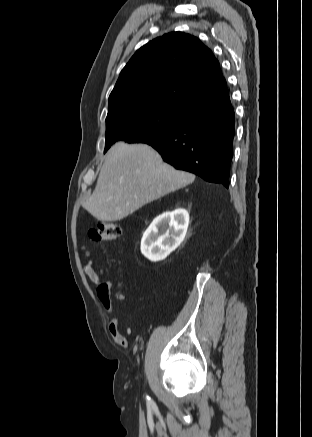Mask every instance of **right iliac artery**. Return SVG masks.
<instances>
[{
  "instance_id": "obj_1",
  "label": "right iliac artery",
  "mask_w": 312,
  "mask_h": 437,
  "mask_svg": "<svg viewBox=\"0 0 312 437\" xmlns=\"http://www.w3.org/2000/svg\"><path fill=\"white\" fill-rule=\"evenodd\" d=\"M147 400L149 403H151V398L147 396Z\"/></svg>"
}]
</instances>
